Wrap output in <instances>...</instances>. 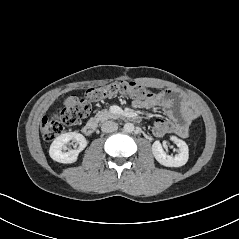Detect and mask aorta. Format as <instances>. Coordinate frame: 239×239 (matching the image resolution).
I'll return each instance as SVG.
<instances>
[{
    "instance_id": "1",
    "label": "aorta",
    "mask_w": 239,
    "mask_h": 239,
    "mask_svg": "<svg viewBox=\"0 0 239 239\" xmlns=\"http://www.w3.org/2000/svg\"><path fill=\"white\" fill-rule=\"evenodd\" d=\"M123 128L125 132L132 133L134 131V124L126 123Z\"/></svg>"
}]
</instances>
